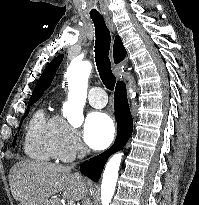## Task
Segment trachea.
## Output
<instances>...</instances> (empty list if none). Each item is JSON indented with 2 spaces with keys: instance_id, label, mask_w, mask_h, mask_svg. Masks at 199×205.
I'll return each mask as SVG.
<instances>
[{
  "instance_id": "obj_1",
  "label": "trachea",
  "mask_w": 199,
  "mask_h": 205,
  "mask_svg": "<svg viewBox=\"0 0 199 205\" xmlns=\"http://www.w3.org/2000/svg\"><path fill=\"white\" fill-rule=\"evenodd\" d=\"M95 26V62L100 75V78L109 90H113L116 77L111 70V62L109 59V50L111 44L110 31L107 28L103 17L92 16L91 17Z\"/></svg>"
}]
</instances>
